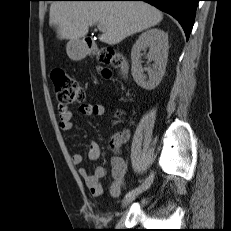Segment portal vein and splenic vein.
<instances>
[{
    "mask_svg": "<svg viewBox=\"0 0 231 231\" xmlns=\"http://www.w3.org/2000/svg\"><path fill=\"white\" fill-rule=\"evenodd\" d=\"M97 27H98V29H99L100 31H104V27H103L102 24H98Z\"/></svg>",
    "mask_w": 231,
    "mask_h": 231,
    "instance_id": "18ae733b",
    "label": "portal vein and splenic vein"
}]
</instances>
